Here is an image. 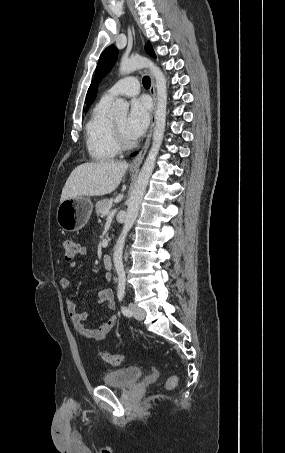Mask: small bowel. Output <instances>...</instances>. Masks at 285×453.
Segmentation results:
<instances>
[{"instance_id": "obj_1", "label": "small bowel", "mask_w": 285, "mask_h": 453, "mask_svg": "<svg viewBox=\"0 0 285 453\" xmlns=\"http://www.w3.org/2000/svg\"><path fill=\"white\" fill-rule=\"evenodd\" d=\"M86 254L87 249L80 247L79 255L85 256ZM69 266L70 268H76L77 264L76 262H71ZM105 280L107 282H110L112 280L111 274H106ZM60 286L64 290H70L72 283L68 278H62L60 280ZM98 302L105 304L111 311L115 310L116 308L114 294L110 289H103L99 291ZM66 306L76 331L85 338L102 340L112 330L118 320L117 315L112 314L104 323L100 324L99 326H90L86 323V320L89 317V313L78 311L72 298L66 299Z\"/></svg>"}]
</instances>
